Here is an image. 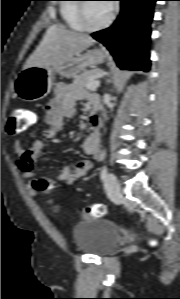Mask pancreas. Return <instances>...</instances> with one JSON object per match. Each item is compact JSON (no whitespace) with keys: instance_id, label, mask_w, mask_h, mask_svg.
Masks as SVG:
<instances>
[{"instance_id":"cf45deb5","label":"pancreas","mask_w":180,"mask_h":299,"mask_svg":"<svg viewBox=\"0 0 180 299\" xmlns=\"http://www.w3.org/2000/svg\"><path fill=\"white\" fill-rule=\"evenodd\" d=\"M103 73L101 69H92L87 70L76 76L73 80V85L77 88H87L88 84H90L95 78H97L100 74Z\"/></svg>"}]
</instances>
